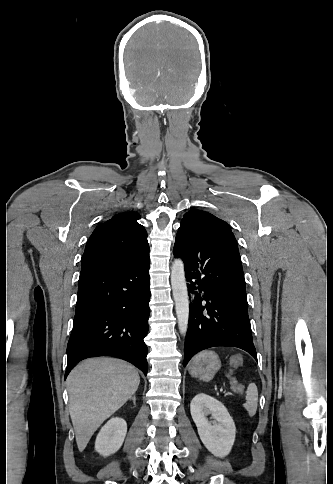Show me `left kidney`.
I'll use <instances>...</instances> for the list:
<instances>
[{"label":"left kidney","instance_id":"1","mask_svg":"<svg viewBox=\"0 0 333 484\" xmlns=\"http://www.w3.org/2000/svg\"><path fill=\"white\" fill-rule=\"evenodd\" d=\"M190 412L204 446L216 457H226L234 444L236 427L225 406L213 397L199 393L190 404ZM211 415L213 421L207 416Z\"/></svg>","mask_w":333,"mask_h":484}]
</instances>
